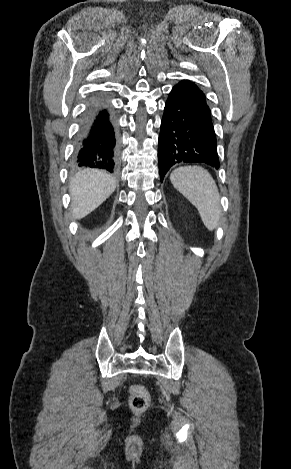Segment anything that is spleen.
<instances>
[{
	"mask_svg": "<svg viewBox=\"0 0 291 469\" xmlns=\"http://www.w3.org/2000/svg\"><path fill=\"white\" fill-rule=\"evenodd\" d=\"M173 186L198 210L208 230H215L222 212L217 185L207 170L200 166H184L170 174Z\"/></svg>",
	"mask_w": 291,
	"mask_h": 469,
	"instance_id": "3e777b00",
	"label": "spleen"
}]
</instances>
